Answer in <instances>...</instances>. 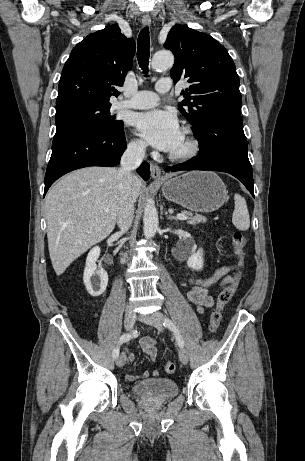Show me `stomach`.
I'll return each instance as SVG.
<instances>
[{"label":"stomach","instance_id":"obj_1","mask_svg":"<svg viewBox=\"0 0 305 461\" xmlns=\"http://www.w3.org/2000/svg\"><path fill=\"white\" fill-rule=\"evenodd\" d=\"M164 197L195 212H212L225 202L223 181L211 171H191L162 183Z\"/></svg>","mask_w":305,"mask_h":461}]
</instances>
